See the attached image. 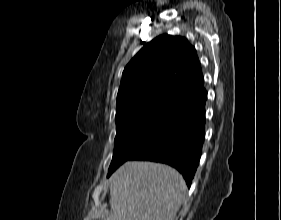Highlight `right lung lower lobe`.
Instances as JSON below:
<instances>
[{
    "label": "right lung lower lobe",
    "instance_id": "98d812e1",
    "mask_svg": "<svg viewBox=\"0 0 281 220\" xmlns=\"http://www.w3.org/2000/svg\"><path fill=\"white\" fill-rule=\"evenodd\" d=\"M207 92L177 109L129 160H150L176 168L188 187L199 165L205 137Z\"/></svg>",
    "mask_w": 281,
    "mask_h": 220
}]
</instances>
